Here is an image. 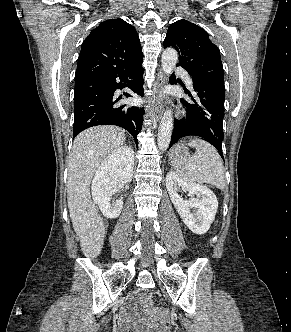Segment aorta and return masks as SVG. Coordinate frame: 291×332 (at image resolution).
<instances>
[{"label": "aorta", "instance_id": "762f6f07", "mask_svg": "<svg viewBox=\"0 0 291 332\" xmlns=\"http://www.w3.org/2000/svg\"><path fill=\"white\" fill-rule=\"evenodd\" d=\"M177 61H178V54L175 49L167 48L163 51L161 59L162 70L167 76L172 74ZM172 129H173L172 111L167 110L163 114L158 130L157 144L160 150H166L168 148L171 141Z\"/></svg>", "mask_w": 291, "mask_h": 332}]
</instances>
